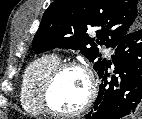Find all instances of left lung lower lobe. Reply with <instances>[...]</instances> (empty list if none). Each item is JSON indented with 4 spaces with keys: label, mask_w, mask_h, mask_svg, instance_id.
I'll list each match as a JSON object with an SVG mask.
<instances>
[{
    "label": "left lung lower lobe",
    "mask_w": 142,
    "mask_h": 119,
    "mask_svg": "<svg viewBox=\"0 0 142 119\" xmlns=\"http://www.w3.org/2000/svg\"><path fill=\"white\" fill-rule=\"evenodd\" d=\"M114 73L109 77L107 61L104 70L98 74L102 78L94 110L86 119H121L129 114L142 112V28L126 34L117 44Z\"/></svg>",
    "instance_id": "obj_1"
}]
</instances>
